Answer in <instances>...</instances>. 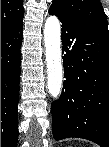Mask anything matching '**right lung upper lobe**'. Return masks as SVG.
<instances>
[{
	"mask_svg": "<svg viewBox=\"0 0 109 147\" xmlns=\"http://www.w3.org/2000/svg\"><path fill=\"white\" fill-rule=\"evenodd\" d=\"M23 16V0H1V31L15 26Z\"/></svg>",
	"mask_w": 109,
	"mask_h": 147,
	"instance_id": "cb5924a9",
	"label": "right lung upper lobe"
}]
</instances>
